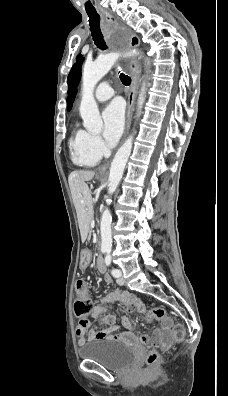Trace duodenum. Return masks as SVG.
I'll use <instances>...</instances> for the list:
<instances>
[{
    "label": "duodenum",
    "instance_id": "410a0bca",
    "mask_svg": "<svg viewBox=\"0 0 228 396\" xmlns=\"http://www.w3.org/2000/svg\"><path fill=\"white\" fill-rule=\"evenodd\" d=\"M97 267H98V270L100 272H102V273H104L106 271V263H105V261L103 260L102 257H98V259H97Z\"/></svg>",
    "mask_w": 228,
    "mask_h": 396
}]
</instances>
